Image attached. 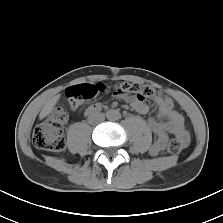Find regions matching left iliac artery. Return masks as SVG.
Returning <instances> with one entry per match:
<instances>
[{
    "instance_id": "1",
    "label": "left iliac artery",
    "mask_w": 223,
    "mask_h": 223,
    "mask_svg": "<svg viewBox=\"0 0 223 223\" xmlns=\"http://www.w3.org/2000/svg\"><path fill=\"white\" fill-rule=\"evenodd\" d=\"M117 118H120V115L118 114Z\"/></svg>"
}]
</instances>
